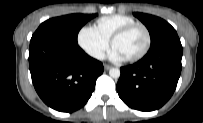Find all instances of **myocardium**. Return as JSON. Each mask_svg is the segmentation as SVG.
I'll use <instances>...</instances> for the list:
<instances>
[{
	"mask_svg": "<svg viewBox=\"0 0 203 123\" xmlns=\"http://www.w3.org/2000/svg\"><path fill=\"white\" fill-rule=\"evenodd\" d=\"M135 28H141L144 31L145 36H146V43H145L144 48L138 54H136L132 57L126 58V60L130 61V62L138 61L141 58H143L148 53V51L151 47V34H150L149 29L146 27V25H144L143 23H140V22L126 25V26L122 27L121 29H119L118 31H116L111 38V46L113 47L114 43L117 39L128 34L130 31H132Z\"/></svg>",
	"mask_w": 203,
	"mask_h": 123,
	"instance_id": "myocardium-1",
	"label": "myocardium"
}]
</instances>
